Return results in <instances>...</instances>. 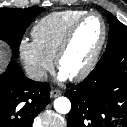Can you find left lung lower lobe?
<instances>
[{
	"mask_svg": "<svg viewBox=\"0 0 127 127\" xmlns=\"http://www.w3.org/2000/svg\"><path fill=\"white\" fill-rule=\"evenodd\" d=\"M66 96L72 103L68 127H127V45L103 54Z\"/></svg>",
	"mask_w": 127,
	"mask_h": 127,
	"instance_id": "0a47b994",
	"label": "left lung lower lobe"
}]
</instances>
